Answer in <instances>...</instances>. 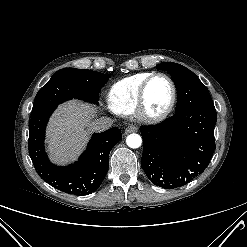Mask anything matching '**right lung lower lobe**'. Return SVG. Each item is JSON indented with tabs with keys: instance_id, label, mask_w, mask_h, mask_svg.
I'll return each mask as SVG.
<instances>
[{
	"instance_id": "obj_1",
	"label": "right lung lower lobe",
	"mask_w": 247,
	"mask_h": 247,
	"mask_svg": "<svg viewBox=\"0 0 247 247\" xmlns=\"http://www.w3.org/2000/svg\"><path fill=\"white\" fill-rule=\"evenodd\" d=\"M57 105L32 113L28 149L40 177L54 188L68 194L87 195L96 191L108 172L111 149L122 139L117 127L95 134L79 160L67 167L53 165L45 152V128Z\"/></svg>"
}]
</instances>
